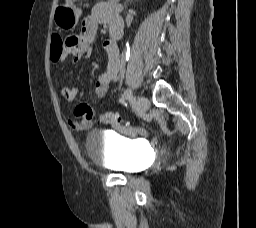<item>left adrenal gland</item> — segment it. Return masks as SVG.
I'll use <instances>...</instances> for the list:
<instances>
[{
    "instance_id": "a2214340",
    "label": "left adrenal gland",
    "mask_w": 256,
    "mask_h": 228,
    "mask_svg": "<svg viewBox=\"0 0 256 228\" xmlns=\"http://www.w3.org/2000/svg\"><path fill=\"white\" fill-rule=\"evenodd\" d=\"M129 1H130V0H126L125 5H126Z\"/></svg>"
}]
</instances>
